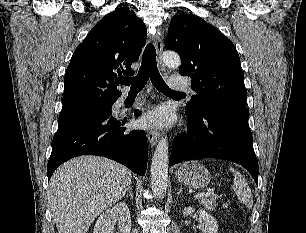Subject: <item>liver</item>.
I'll use <instances>...</instances> for the list:
<instances>
[{
    "label": "liver",
    "instance_id": "liver-1",
    "mask_svg": "<svg viewBox=\"0 0 306 233\" xmlns=\"http://www.w3.org/2000/svg\"><path fill=\"white\" fill-rule=\"evenodd\" d=\"M132 172L104 157L80 156L53 174L48 198L58 233H87L97 216L128 191Z\"/></svg>",
    "mask_w": 306,
    "mask_h": 233
}]
</instances>
